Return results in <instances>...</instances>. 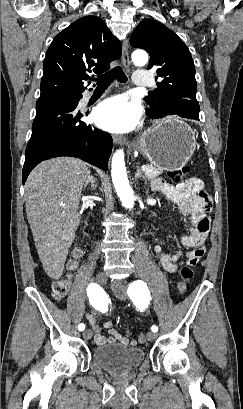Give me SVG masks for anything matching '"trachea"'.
<instances>
[{
    "instance_id": "trachea-1",
    "label": "trachea",
    "mask_w": 243,
    "mask_h": 409,
    "mask_svg": "<svg viewBox=\"0 0 243 409\" xmlns=\"http://www.w3.org/2000/svg\"><path fill=\"white\" fill-rule=\"evenodd\" d=\"M116 79L117 81L121 83H126L127 82V76L125 75L124 71L120 66L115 67L113 70L108 72L107 74L97 77L96 79H93L97 82V87H105L110 85V83Z\"/></svg>"
}]
</instances>
